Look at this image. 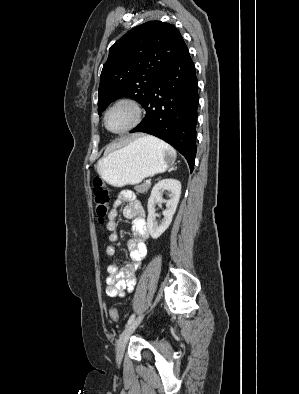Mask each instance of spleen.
<instances>
[{
    "label": "spleen",
    "mask_w": 299,
    "mask_h": 394,
    "mask_svg": "<svg viewBox=\"0 0 299 394\" xmlns=\"http://www.w3.org/2000/svg\"><path fill=\"white\" fill-rule=\"evenodd\" d=\"M153 138H154V137H153ZM154 141H156L157 143L163 145L166 149L170 150L172 153L175 154L174 149L171 148L168 144H166V143H164L163 141H161V140H159V139H156V138H154Z\"/></svg>",
    "instance_id": "spleen-1"
}]
</instances>
